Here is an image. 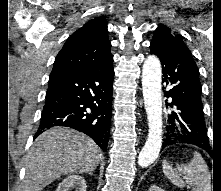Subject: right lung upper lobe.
<instances>
[{
  "label": "right lung upper lobe",
  "instance_id": "cb5924a9",
  "mask_svg": "<svg viewBox=\"0 0 221 191\" xmlns=\"http://www.w3.org/2000/svg\"><path fill=\"white\" fill-rule=\"evenodd\" d=\"M107 22L103 17L90 20L65 42L54 62L50 77L98 68L113 62Z\"/></svg>",
  "mask_w": 221,
  "mask_h": 191
}]
</instances>
